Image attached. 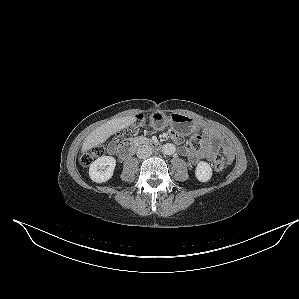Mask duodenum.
Returning a JSON list of instances; mask_svg holds the SVG:
<instances>
[{
    "label": "duodenum",
    "mask_w": 299,
    "mask_h": 299,
    "mask_svg": "<svg viewBox=\"0 0 299 299\" xmlns=\"http://www.w3.org/2000/svg\"><path fill=\"white\" fill-rule=\"evenodd\" d=\"M140 145H146L155 150L161 148V143H159L158 141L129 140L118 146V153L121 157H128Z\"/></svg>",
    "instance_id": "410a0bca"
}]
</instances>
